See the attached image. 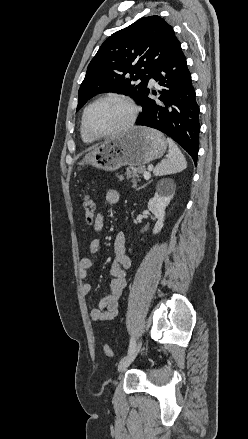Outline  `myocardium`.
<instances>
[{
	"instance_id": "f54148a6",
	"label": "myocardium",
	"mask_w": 248,
	"mask_h": 439,
	"mask_svg": "<svg viewBox=\"0 0 248 439\" xmlns=\"http://www.w3.org/2000/svg\"><path fill=\"white\" fill-rule=\"evenodd\" d=\"M108 99L117 100L119 102H122L124 105H126L130 111L129 118L124 125H122L121 127L117 128L115 130H112V131H109L106 133H101V134L94 133V132L90 131L87 127V123H86L87 114H88L89 110L95 104H97L100 101L108 100ZM137 116H138V107L135 105V103L130 98H128L127 96L121 95V94L108 93V94H104V95L97 97L95 100H93L91 103H89L85 107L83 114H82L81 127H82L83 132L87 136H89L90 138L95 139V140L102 139V138L114 136V135H117L120 133H124V132L130 130L134 126L136 119H137Z\"/></svg>"
}]
</instances>
